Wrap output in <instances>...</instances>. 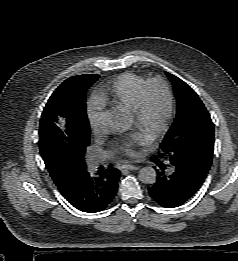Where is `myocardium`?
I'll use <instances>...</instances> for the list:
<instances>
[{
	"label": "myocardium",
	"instance_id": "myocardium-1",
	"mask_svg": "<svg viewBox=\"0 0 238 261\" xmlns=\"http://www.w3.org/2000/svg\"><path fill=\"white\" fill-rule=\"evenodd\" d=\"M154 85H160L163 88L166 95L167 108L160 125L151 134L152 139L160 137L168 130L175 112V97L169 81L161 76H155L147 79L141 86L137 95L135 106L131 111V116L134 119V123L139 127L145 117L147 94L150 88Z\"/></svg>",
	"mask_w": 238,
	"mask_h": 261
}]
</instances>
